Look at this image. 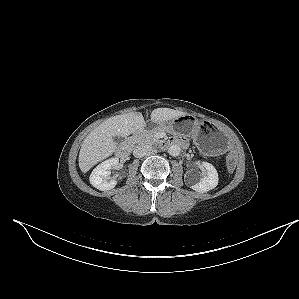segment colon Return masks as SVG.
Masks as SVG:
<instances>
[{
	"mask_svg": "<svg viewBox=\"0 0 299 299\" xmlns=\"http://www.w3.org/2000/svg\"><path fill=\"white\" fill-rule=\"evenodd\" d=\"M235 166V163H234V159L233 158H229L228 159V162H227V167L229 170H232Z\"/></svg>",
	"mask_w": 299,
	"mask_h": 299,
	"instance_id": "5ec220e1",
	"label": "colon"
}]
</instances>
